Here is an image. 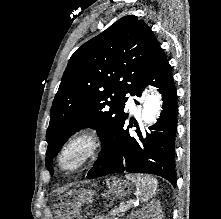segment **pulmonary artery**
Instances as JSON below:
<instances>
[{"instance_id": "e3ab8cb5", "label": "pulmonary artery", "mask_w": 221, "mask_h": 219, "mask_svg": "<svg viewBox=\"0 0 221 219\" xmlns=\"http://www.w3.org/2000/svg\"><path fill=\"white\" fill-rule=\"evenodd\" d=\"M129 107L131 109H134V101H133V98L131 96H128V101H127Z\"/></svg>"}]
</instances>
